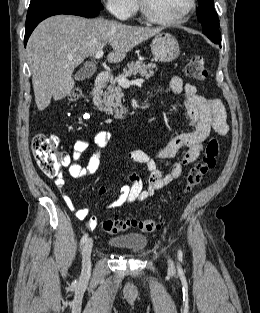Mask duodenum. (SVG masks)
I'll list each match as a JSON object with an SVG mask.
<instances>
[{
	"label": "duodenum",
	"instance_id": "410a0bca",
	"mask_svg": "<svg viewBox=\"0 0 260 313\" xmlns=\"http://www.w3.org/2000/svg\"><path fill=\"white\" fill-rule=\"evenodd\" d=\"M107 82L108 77L104 72H101L96 76L93 87L89 93L91 104H94L97 101L100 91L107 85Z\"/></svg>",
	"mask_w": 260,
	"mask_h": 313
}]
</instances>
